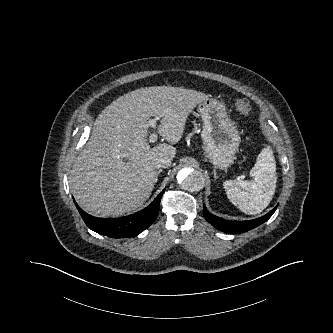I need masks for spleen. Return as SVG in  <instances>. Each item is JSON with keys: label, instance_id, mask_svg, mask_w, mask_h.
Wrapping results in <instances>:
<instances>
[{"label": "spleen", "instance_id": "obj_1", "mask_svg": "<svg viewBox=\"0 0 333 333\" xmlns=\"http://www.w3.org/2000/svg\"><path fill=\"white\" fill-rule=\"evenodd\" d=\"M250 176V181L227 180L223 186L235 206L246 214L255 215L269 205L276 188V163L270 146L262 149Z\"/></svg>", "mask_w": 333, "mask_h": 333}]
</instances>
